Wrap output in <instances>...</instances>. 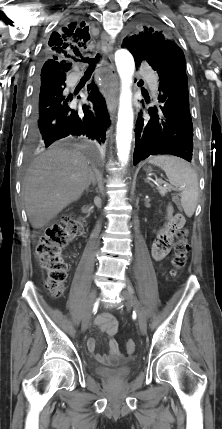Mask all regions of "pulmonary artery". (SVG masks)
<instances>
[{
  "label": "pulmonary artery",
  "mask_w": 222,
  "mask_h": 429,
  "mask_svg": "<svg viewBox=\"0 0 222 429\" xmlns=\"http://www.w3.org/2000/svg\"><path fill=\"white\" fill-rule=\"evenodd\" d=\"M145 77L147 79L150 90L155 93L158 86V82L155 75L150 73L149 71H145Z\"/></svg>",
  "instance_id": "obj_1"
}]
</instances>
